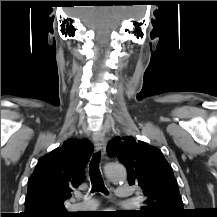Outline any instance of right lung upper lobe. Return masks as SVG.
Masks as SVG:
<instances>
[{"label": "right lung upper lobe", "mask_w": 217, "mask_h": 217, "mask_svg": "<svg viewBox=\"0 0 217 217\" xmlns=\"http://www.w3.org/2000/svg\"><path fill=\"white\" fill-rule=\"evenodd\" d=\"M92 152L87 139L71 138L41 158L28 181L22 216H73L66 211L64 201L84 181V166Z\"/></svg>", "instance_id": "cb5924a9"}]
</instances>
